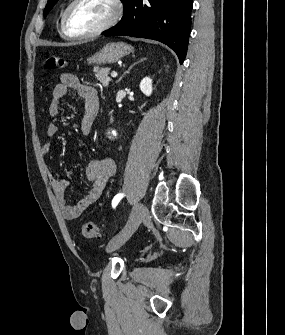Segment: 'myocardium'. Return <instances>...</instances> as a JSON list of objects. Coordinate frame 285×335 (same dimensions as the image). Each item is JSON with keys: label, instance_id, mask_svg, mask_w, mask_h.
I'll use <instances>...</instances> for the list:
<instances>
[{"label": "myocardium", "instance_id": "obj_1", "mask_svg": "<svg viewBox=\"0 0 285 335\" xmlns=\"http://www.w3.org/2000/svg\"><path fill=\"white\" fill-rule=\"evenodd\" d=\"M81 2L84 1H72L66 12V19L69 25L70 37L74 39L90 38L100 35L101 33L111 28L113 25H115L119 21L123 13L122 1H105L111 7L112 14L103 25L93 30H75L73 24L74 9L76 5Z\"/></svg>", "mask_w": 285, "mask_h": 335}]
</instances>
